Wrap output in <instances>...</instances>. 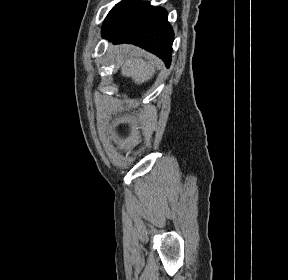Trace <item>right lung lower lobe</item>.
<instances>
[{"label":"right lung lower lobe","instance_id":"1","mask_svg":"<svg viewBox=\"0 0 288 280\" xmlns=\"http://www.w3.org/2000/svg\"><path fill=\"white\" fill-rule=\"evenodd\" d=\"M104 38L132 43L157 55L169 67L174 33L165 9L147 2L125 0L108 14L102 27Z\"/></svg>","mask_w":288,"mask_h":280}]
</instances>
